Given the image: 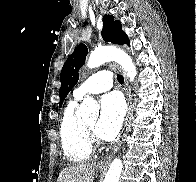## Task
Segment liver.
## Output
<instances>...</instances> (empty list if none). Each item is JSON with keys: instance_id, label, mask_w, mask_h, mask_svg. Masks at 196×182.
<instances>
[{"instance_id": "6515ba94", "label": "liver", "mask_w": 196, "mask_h": 182, "mask_svg": "<svg viewBox=\"0 0 196 182\" xmlns=\"http://www.w3.org/2000/svg\"><path fill=\"white\" fill-rule=\"evenodd\" d=\"M96 163H79L64 168L57 182H93Z\"/></svg>"}]
</instances>
